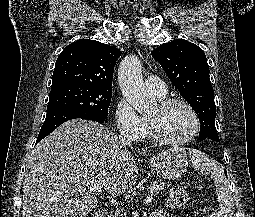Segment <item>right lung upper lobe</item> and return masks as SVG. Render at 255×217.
Listing matches in <instances>:
<instances>
[{
    "label": "right lung upper lobe",
    "mask_w": 255,
    "mask_h": 217,
    "mask_svg": "<svg viewBox=\"0 0 255 217\" xmlns=\"http://www.w3.org/2000/svg\"><path fill=\"white\" fill-rule=\"evenodd\" d=\"M121 51L113 46L79 39L69 44L57 58L52 87L76 84L112 89L114 65Z\"/></svg>",
    "instance_id": "right-lung-upper-lobe-1"
}]
</instances>
